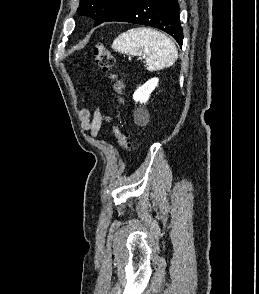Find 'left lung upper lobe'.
<instances>
[{"label":"left lung upper lobe","mask_w":259,"mask_h":294,"mask_svg":"<svg viewBox=\"0 0 259 294\" xmlns=\"http://www.w3.org/2000/svg\"><path fill=\"white\" fill-rule=\"evenodd\" d=\"M124 0H80L77 12L79 15L89 16L95 19L97 26L104 22L112 9Z\"/></svg>","instance_id":"obj_1"}]
</instances>
